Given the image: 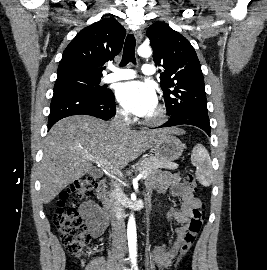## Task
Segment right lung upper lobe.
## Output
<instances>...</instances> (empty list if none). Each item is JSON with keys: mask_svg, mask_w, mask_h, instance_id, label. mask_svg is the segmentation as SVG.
<instances>
[{"mask_svg": "<svg viewBox=\"0 0 267 270\" xmlns=\"http://www.w3.org/2000/svg\"><path fill=\"white\" fill-rule=\"evenodd\" d=\"M125 35L124 27L114 18L102 19L84 28L64 50L57 77L101 78L103 65L120 53Z\"/></svg>", "mask_w": 267, "mask_h": 270, "instance_id": "obj_1", "label": "right lung upper lobe"}]
</instances>
